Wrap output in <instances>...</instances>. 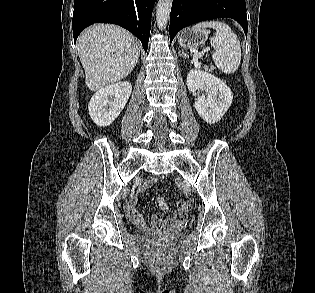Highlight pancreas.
Here are the masks:
<instances>
[{
	"label": "pancreas",
	"mask_w": 315,
	"mask_h": 293,
	"mask_svg": "<svg viewBox=\"0 0 315 293\" xmlns=\"http://www.w3.org/2000/svg\"><path fill=\"white\" fill-rule=\"evenodd\" d=\"M205 69H206L207 71H213V70H214V67H211V66L208 67V66H207Z\"/></svg>",
	"instance_id": "pancreas-1"
}]
</instances>
